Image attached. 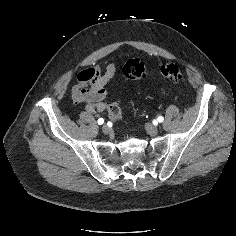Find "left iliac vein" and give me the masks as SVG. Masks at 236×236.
<instances>
[{
	"instance_id": "left-iliac-vein-1",
	"label": "left iliac vein",
	"mask_w": 236,
	"mask_h": 236,
	"mask_svg": "<svg viewBox=\"0 0 236 236\" xmlns=\"http://www.w3.org/2000/svg\"><path fill=\"white\" fill-rule=\"evenodd\" d=\"M145 129H146L147 133L150 134V135H152V136L158 134V132H159L158 127L155 126V125H152V124H150V123H147V124L145 125Z\"/></svg>"
}]
</instances>
